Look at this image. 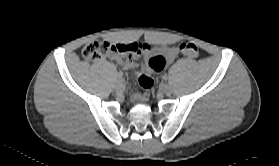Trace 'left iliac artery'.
Masks as SVG:
<instances>
[{
  "label": "left iliac artery",
  "mask_w": 279,
  "mask_h": 166,
  "mask_svg": "<svg viewBox=\"0 0 279 166\" xmlns=\"http://www.w3.org/2000/svg\"><path fill=\"white\" fill-rule=\"evenodd\" d=\"M163 80H168V75L167 74H165V75H163Z\"/></svg>",
  "instance_id": "1"
}]
</instances>
